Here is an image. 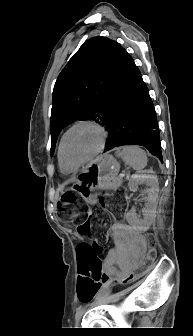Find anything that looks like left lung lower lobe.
<instances>
[{"label":"left lung lower lobe","instance_id":"left-lung-lower-lobe-1","mask_svg":"<svg viewBox=\"0 0 193 336\" xmlns=\"http://www.w3.org/2000/svg\"><path fill=\"white\" fill-rule=\"evenodd\" d=\"M105 129L109 133L105 151L123 145H140L163 162L154 105L141 73L129 54Z\"/></svg>","mask_w":193,"mask_h":336}]
</instances>
